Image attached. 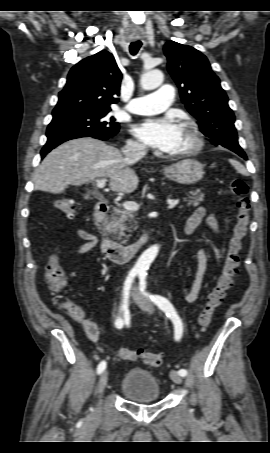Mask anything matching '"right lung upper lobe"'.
<instances>
[{"label": "right lung upper lobe", "mask_w": 270, "mask_h": 453, "mask_svg": "<svg viewBox=\"0 0 270 453\" xmlns=\"http://www.w3.org/2000/svg\"><path fill=\"white\" fill-rule=\"evenodd\" d=\"M122 74L112 54L102 50L71 68L59 93L53 118L86 111L111 110L117 103Z\"/></svg>", "instance_id": "1"}]
</instances>
